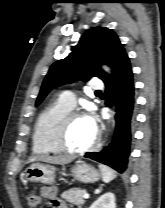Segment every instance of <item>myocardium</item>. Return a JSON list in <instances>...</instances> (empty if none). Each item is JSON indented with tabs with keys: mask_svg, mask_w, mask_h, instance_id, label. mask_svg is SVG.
<instances>
[{
	"mask_svg": "<svg viewBox=\"0 0 165 208\" xmlns=\"http://www.w3.org/2000/svg\"><path fill=\"white\" fill-rule=\"evenodd\" d=\"M87 114L81 110H70L68 111L58 122L54 132V144L57 147L59 153L72 154V155H83L93 151L99 144L100 135L98 131L95 134L93 142L86 148L83 149H71L67 147L64 142L66 131L71 125L72 121L78 117H86Z\"/></svg>",
	"mask_w": 165,
	"mask_h": 208,
	"instance_id": "f54148a6",
	"label": "myocardium"
}]
</instances>
